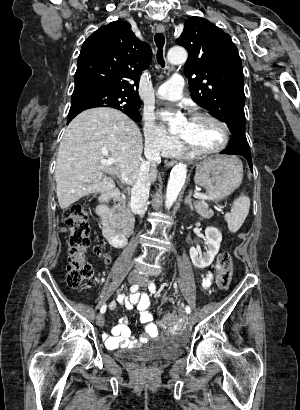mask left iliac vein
<instances>
[{
    "label": "left iliac vein",
    "mask_w": 300,
    "mask_h": 410,
    "mask_svg": "<svg viewBox=\"0 0 300 410\" xmlns=\"http://www.w3.org/2000/svg\"><path fill=\"white\" fill-rule=\"evenodd\" d=\"M138 283L142 286L145 287L147 286L148 279L145 276H141ZM185 318L187 319L188 322L192 323L193 322V317L191 315H186Z\"/></svg>",
    "instance_id": "left-iliac-vein-1"
}]
</instances>
